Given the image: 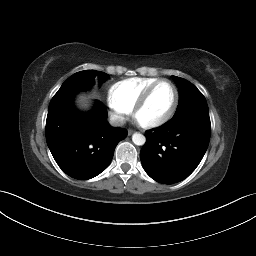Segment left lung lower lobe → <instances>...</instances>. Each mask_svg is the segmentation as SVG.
Masks as SVG:
<instances>
[{"label": "left lung lower lobe", "instance_id": "obj_1", "mask_svg": "<svg viewBox=\"0 0 256 256\" xmlns=\"http://www.w3.org/2000/svg\"><path fill=\"white\" fill-rule=\"evenodd\" d=\"M153 130L146 133L140 153L146 173L163 184L184 180L207 150L211 134L209 115L186 112Z\"/></svg>", "mask_w": 256, "mask_h": 256}]
</instances>
